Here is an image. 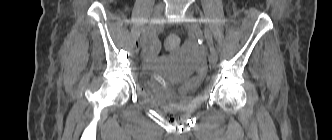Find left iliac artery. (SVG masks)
Returning <instances> with one entry per match:
<instances>
[{"label": "left iliac artery", "mask_w": 332, "mask_h": 140, "mask_svg": "<svg viewBox=\"0 0 332 140\" xmlns=\"http://www.w3.org/2000/svg\"><path fill=\"white\" fill-rule=\"evenodd\" d=\"M195 21H196V20H195ZM196 26H197V32H198V34L201 35V36L204 34L205 39H206L207 44H208L209 49H210V53H211L216 59H218L217 51H216V49H215V47H214L213 40H212V36H211L210 32H209L208 30H206V29H202V28H201V24H196Z\"/></svg>", "instance_id": "1"}]
</instances>
